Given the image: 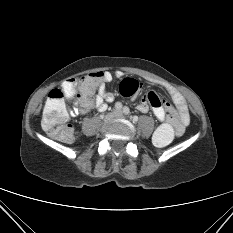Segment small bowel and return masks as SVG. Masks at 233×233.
<instances>
[{
    "label": "small bowel",
    "instance_id": "1",
    "mask_svg": "<svg viewBox=\"0 0 233 233\" xmlns=\"http://www.w3.org/2000/svg\"><path fill=\"white\" fill-rule=\"evenodd\" d=\"M121 77L122 72L102 73V78L97 88V93L94 96H87L82 85L78 88V95L76 98L77 108L73 110V114H87L91 109L96 108L99 111H105L108 104L114 100V96L107 92L106 86L113 80V77ZM165 89L172 98L175 106H172L166 100L160 99L155 92H149L142 101L138 104L137 108L140 112L146 113L151 108L155 116L160 121L167 120L175 129L176 135H182L187 123L189 122V114L186 101L182 94L174 87L165 85ZM77 90V84H73L69 88L71 94Z\"/></svg>",
    "mask_w": 233,
    "mask_h": 233
}]
</instances>
